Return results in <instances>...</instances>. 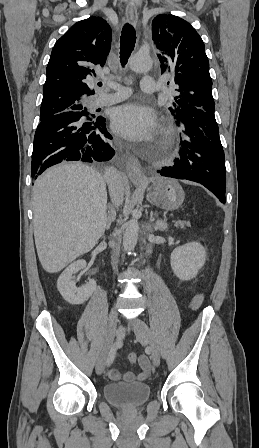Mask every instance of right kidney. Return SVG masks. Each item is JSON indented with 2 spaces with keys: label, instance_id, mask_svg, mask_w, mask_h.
Wrapping results in <instances>:
<instances>
[{
  "label": "right kidney",
  "instance_id": "obj_1",
  "mask_svg": "<svg viewBox=\"0 0 259 448\" xmlns=\"http://www.w3.org/2000/svg\"><path fill=\"white\" fill-rule=\"evenodd\" d=\"M83 268H86L85 260H77V262L70 264L57 280V288L62 298L69 304H84L92 296L96 288L95 280H90L81 288H76L75 282H72L73 274H77Z\"/></svg>",
  "mask_w": 259,
  "mask_h": 448
}]
</instances>
